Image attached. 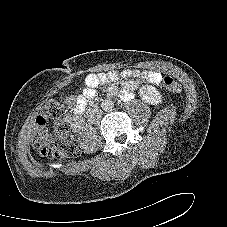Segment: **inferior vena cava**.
Here are the masks:
<instances>
[{
    "label": "inferior vena cava",
    "instance_id": "602c4592",
    "mask_svg": "<svg viewBox=\"0 0 227 227\" xmlns=\"http://www.w3.org/2000/svg\"><path fill=\"white\" fill-rule=\"evenodd\" d=\"M101 116V112L98 111L97 109H94L92 110L90 113H89V121L90 122H95L97 119H99Z\"/></svg>",
    "mask_w": 227,
    "mask_h": 227
}]
</instances>
